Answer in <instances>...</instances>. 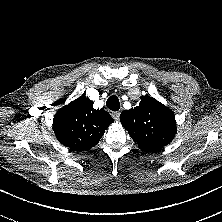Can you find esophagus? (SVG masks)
I'll return each mask as SVG.
<instances>
[{"instance_id": "34e87169", "label": "esophagus", "mask_w": 222, "mask_h": 222, "mask_svg": "<svg viewBox=\"0 0 222 222\" xmlns=\"http://www.w3.org/2000/svg\"><path fill=\"white\" fill-rule=\"evenodd\" d=\"M112 117L114 118V120L118 121L120 117V112L119 111L113 112Z\"/></svg>"}]
</instances>
